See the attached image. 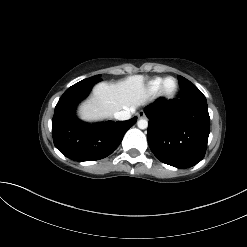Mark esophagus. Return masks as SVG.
Masks as SVG:
<instances>
[{"instance_id":"34e87169","label":"esophagus","mask_w":247,"mask_h":247,"mask_svg":"<svg viewBox=\"0 0 247 247\" xmlns=\"http://www.w3.org/2000/svg\"><path fill=\"white\" fill-rule=\"evenodd\" d=\"M138 117H139V118H145L146 115H145L144 111H139V112H138Z\"/></svg>"}]
</instances>
